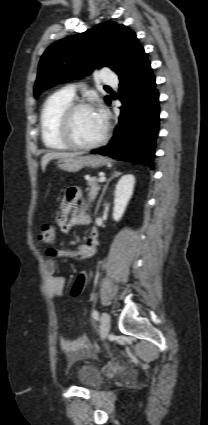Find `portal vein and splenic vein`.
<instances>
[{"instance_id":"portal-vein-and-splenic-vein-1","label":"portal vein and splenic vein","mask_w":208,"mask_h":425,"mask_svg":"<svg viewBox=\"0 0 208 425\" xmlns=\"http://www.w3.org/2000/svg\"><path fill=\"white\" fill-rule=\"evenodd\" d=\"M105 180H106V178H105V176H101L100 178H99V182H105Z\"/></svg>"}]
</instances>
